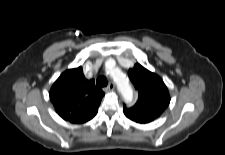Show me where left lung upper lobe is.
<instances>
[{"label": "left lung upper lobe", "instance_id": "5c2ea615", "mask_svg": "<svg viewBox=\"0 0 225 155\" xmlns=\"http://www.w3.org/2000/svg\"><path fill=\"white\" fill-rule=\"evenodd\" d=\"M128 76L139 96L134 106L124 105L125 115L141 124L157 119L170 103L169 92L163 80L138 63L129 69Z\"/></svg>", "mask_w": 225, "mask_h": 155}]
</instances>
